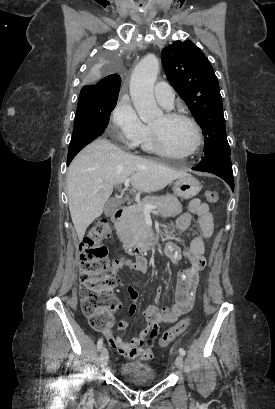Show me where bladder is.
I'll list each match as a JSON object with an SVG mask.
<instances>
[{
	"instance_id": "bladder-1",
	"label": "bladder",
	"mask_w": 275,
	"mask_h": 409,
	"mask_svg": "<svg viewBox=\"0 0 275 409\" xmlns=\"http://www.w3.org/2000/svg\"><path fill=\"white\" fill-rule=\"evenodd\" d=\"M120 380L129 386L138 384L150 385L158 383V376L150 364L142 361H129L121 365L118 370Z\"/></svg>"
}]
</instances>
